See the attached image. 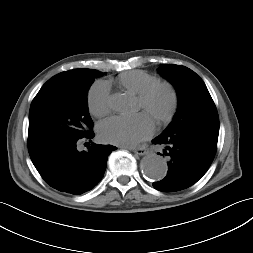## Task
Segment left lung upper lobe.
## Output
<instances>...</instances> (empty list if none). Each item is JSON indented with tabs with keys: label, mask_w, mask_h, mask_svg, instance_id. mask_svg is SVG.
Here are the masks:
<instances>
[{
	"label": "left lung upper lobe",
	"mask_w": 253,
	"mask_h": 253,
	"mask_svg": "<svg viewBox=\"0 0 253 253\" xmlns=\"http://www.w3.org/2000/svg\"><path fill=\"white\" fill-rule=\"evenodd\" d=\"M159 72L175 86L178 94L177 113L163 134L209 121L219 123L215 104L199 75L172 64L162 65Z\"/></svg>",
	"instance_id": "5c2ea615"
}]
</instances>
